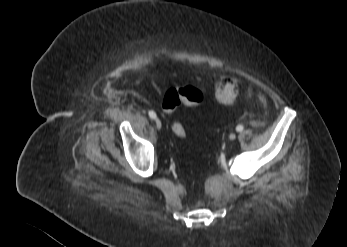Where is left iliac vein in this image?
<instances>
[{
  "instance_id": "left-iliac-vein-1",
  "label": "left iliac vein",
  "mask_w": 347,
  "mask_h": 247,
  "mask_svg": "<svg viewBox=\"0 0 347 247\" xmlns=\"http://www.w3.org/2000/svg\"><path fill=\"white\" fill-rule=\"evenodd\" d=\"M229 139L231 141L235 140L236 139V135L234 133H231L230 136H229Z\"/></svg>"
}]
</instances>
